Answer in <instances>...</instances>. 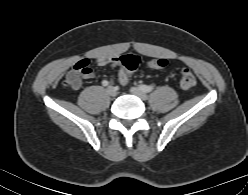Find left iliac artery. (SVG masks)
Instances as JSON below:
<instances>
[{"label": "left iliac artery", "instance_id": "left-iliac-artery-1", "mask_svg": "<svg viewBox=\"0 0 248 195\" xmlns=\"http://www.w3.org/2000/svg\"><path fill=\"white\" fill-rule=\"evenodd\" d=\"M139 87L143 92H146V93H149L154 89L152 86H148V85H144V84L140 85Z\"/></svg>", "mask_w": 248, "mask_h": 195}]
</instances>
